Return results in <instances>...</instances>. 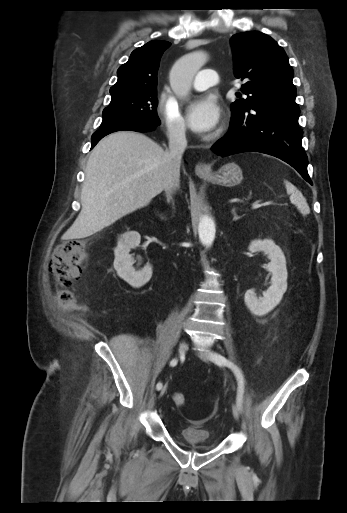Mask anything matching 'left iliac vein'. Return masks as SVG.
Masks as SVG:
<instances>
[{
	"instance_id": "left-iliac-vein-1",
	"label": "left iliac vein",
	"mask_w": 347,
	"mask_h": 513,
	"mask_svg": "<svg viewBox=\"0 0 347 513\" xmlns=\"http://www.w3.org/2000/svg\"><path fill=\"white\" fill-rule=\"evenodd\" d=\"M199 356H200V358H201L203 361H205V362H208V361L210 360V355H209V353H207V352H200V353H199ZM232 412H233V416H234V418H235L236 420H238L240 415H239V409H238V406H237L236 404H233V406H232Z\"/></svg>"
}]
</instances>
